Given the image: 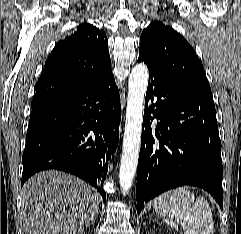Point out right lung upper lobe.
<instances>
[{"label": "right lung upper lobe", "mask_w": 241, "mask_h": 234, "mask_svg": "<svg viewBox=\"0 0 241 234\" xmlns=\"http://www.w3.org/2000/svg\"><path fill=\"white\" fill-rule=\"evenodd\" d=\"M112 74L108 40L89 23L57 43L36 84L33 100L85 88Z\"/></svg>", "instance_id": "obj_1"}]
</instances>
